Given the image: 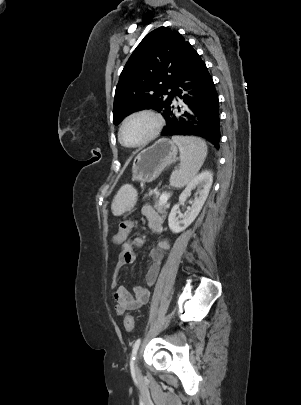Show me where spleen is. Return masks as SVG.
Wrapping results in <instances>:
<instances>
[{
    "instance_id": "spleen-1",
    "label": "spleen",
    "mask_w": 301,
    "mask_h": 405,
    "mask_svg": "<svg viewBox=\"0 0 301 405\" xmlns=\"http://www.w3.org/2000/svg\"><path fill=\"white\" fill-rule=\"evenodd\" d=\"M172 140L180 150L181 163L178 170L170 178L173 187L181 188L195 178L207 156V145L201 138L193 136H173ZM136 191L130 185L120 188L112 202V212L119 216L133 204Z\"/></svg>"
}]
</instances>
